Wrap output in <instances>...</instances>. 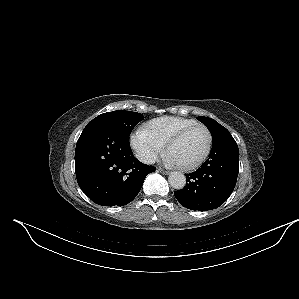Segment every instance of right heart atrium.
<instances>
[{"label":"right heart atrium","mask_w":299,"mask_h":299,"mask_svg":"<svg viewBox=\"0 0 299 299\" xmlns=\"http://www.w3.org/2000/svg\"><path fill=\"white\" fill-rule=\"evenodd\" d=\"M129 142L136 156L146 164L154 162L164 148V145L145 127H140L133 132L130 135Z\"/></svg>","instance_id":"obj_1"}]
</instances>
